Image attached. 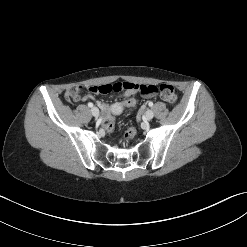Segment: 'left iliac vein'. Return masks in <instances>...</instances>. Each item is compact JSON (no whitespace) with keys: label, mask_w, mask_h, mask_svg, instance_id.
Here are the masks:
<instances>
[{"label":"left iliac vein","mask_w":247,"mask_h":247,"mask_svg":"<svg viewBox=\"0 0 247 247\" xmlns=\"http://www.w3.org/2000/svg\"><path fill=\"white\" fill-rule=\"evenodd\" d=\"M153 116H154V113H153L152 110H147V111H146V113H145V118H146L147 120H151V119L153 118Z\"/></svg>","instance_id":"4c4485c4"}]
</instances>
